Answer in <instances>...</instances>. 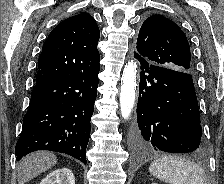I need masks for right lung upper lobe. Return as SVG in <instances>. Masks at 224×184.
<instances>
[{
    "mask_svg": "<svg viewBox=\"0 0 224 184\" xmlns=\"http://www.w3.org/2000/svg\"><path fill=\"white\" fill-rule=\"evenodd\" d=\"M100 31L95 19L81 13L59 23L43 44L36 82L87 72L99 66Z\"/></svg>",
    "mask_w": 224,
    "mask_h": 184,
    "instance_id": "right-lung-upper-lobe-1",
    "label": "right lung upper lobe"
}]
</instances>
